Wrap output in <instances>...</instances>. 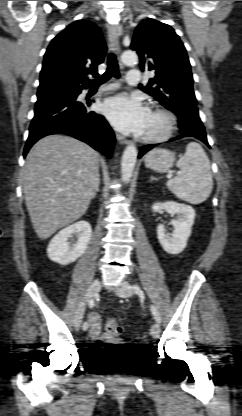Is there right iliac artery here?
<instances>
[{"instance_id": "82829eb1", "label": "right iliac artery", "mask_w": 242, "mask_h": 416, "mask_svg": "<svg viewBox=\"0 0 242 416\" xmlns=\"http://www.w3.org/2000/svg\"><path fill=\"white\" fill-rule=\"evenodd\" d=\"M94 306V301L93 300H90L89 301V307H93ZM82 328H83V330H87V328H88V323L87 322H85L84 324H83V326H82Z\"/></svg>"}]
</instances>
